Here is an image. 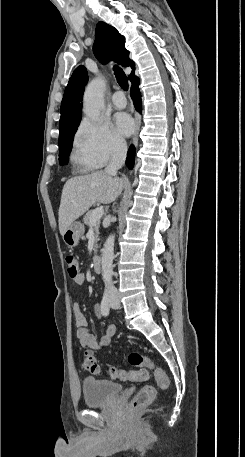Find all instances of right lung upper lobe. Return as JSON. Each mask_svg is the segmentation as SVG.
<instances>
[{"mask_svg": "<svg viewBox=\"0 0 245 457\" xmlns=\"http://www.w3.org/2000/svg\"><path fill=\"white\" fill-rule=\"evenodd\" d=\"M93 51L96 58L102 63H107L110 59H114L124 67L130 66L133 70L128 78L129 80L135 78V65L129 60V51L125 48V38L114 27L102 21L98 22ZM87 81L86 68L82 65L78 66L74 70L64 92L59 127L81 120V102Z\"/></svg>", "mask_w": 245, "mask_h": 457, "instance_id": "1", "label": "right lung upper lobe"}]
</instances>
